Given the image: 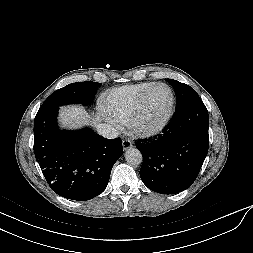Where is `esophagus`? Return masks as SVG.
Instances as JSON below:
<instances>
[{
	"mask_svg": "<svg viewBox=\"0 0 253 253\" xmlns=\"http://www.w3.org/2000/svg\"><path fill=\"white\" fill-rule=\"evenodd\" d=\"M122 146L124 150H127L132 147V142L129 139H124L122 141Z\"/></svg>",
	"mask_w": 253,
	"mask_h": 253,
	"instance_id": "obj_1",
	"label": "esophagus"
}]
</instances>
